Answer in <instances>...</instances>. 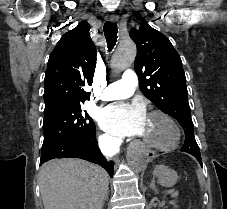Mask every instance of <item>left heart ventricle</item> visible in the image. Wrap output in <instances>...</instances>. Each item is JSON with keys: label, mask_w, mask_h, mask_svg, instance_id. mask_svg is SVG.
I'll list each match as a JSON object with an SVG mask.
<instances>
[{"label": "left heart ventricle", "mask_w": 227, "mask_h": 209, "mask_svg": "<svg viewBox=\"0 0 227 209\" xmlns=\"http://www.w3.org/2000/svg\"><path fill=\"white\" fill-rule=\"evenodd\" d=\"M138 135L157 144H168L173 139V130L164 119L148 116L145 126Z\"/></svg>", "instance_id": "1"}]
</instances>
